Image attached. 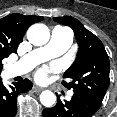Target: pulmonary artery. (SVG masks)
<instances>
[{
  "label": "pulmonary artery",
  "mask_w": 117,
  "mask_h": 117,
  "mask_svg": "<svg viewBox=\"0 0 117 117\" xmlns=\"http://www.w3.org/2000/svg\"><path fill=\"white\" fill-rule=\"evenodd\" d=\"M73 33L69 28L56 26L51 33L50 41L47 45L35 49L22 57L18 62L7 68L10 77L23 75L33 69L39 63L46 61L52 57L63 54L71 46ZM72 92L68 93L70 98Z\"/></svg>",
  "instance_id": "pulmonary-artery-1"
}]
</instances>
